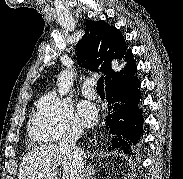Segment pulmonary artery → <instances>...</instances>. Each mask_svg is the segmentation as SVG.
<instances>
[{
	"mask_svg": "<svg viewBox=\"0 0 183 179\" xmlns=\"http://www.w3.org/2000/svg\"><path fill=\"white\" fill-rule=\"evenodd\" d=\"M94 80L91 78L86 79L82 84V93L85 97L95 99L97 96L96 90L94 89Z\"/></svg>",
	"mask_w": 183,
	"mask_h": 179,
	"instance_id": "1",
	"label": "pulmonary artery"
}]
</instances>
